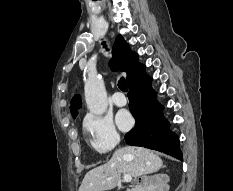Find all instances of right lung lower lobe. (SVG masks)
<instances>
[{"label":"right lung lower lobe","mask_w":233,"mask_h":191,"mask_svg":"<svg viewBox=\"0 0 233 191\" xmlns=\"http://www.w3.org/2000/svg\"><path fill=\"white\" fill-rule=\"evenodd\" d=\"M151 81L142 64L127 80L130 89L129 109L136 123L125 135V141L129 145L144 146L183 160L179 139L169 130V123L162 115L163 106L156 100Z\"/></svg>","instance_id":"right-lung-lower-lobe-1"}]
</instances>
